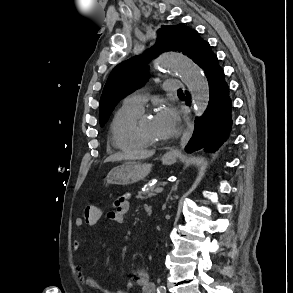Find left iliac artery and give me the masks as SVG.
I'll use <instances>...</instances> for the list:
<instances>
[{
    "mask_svg": "<svg viewBox=\"0 0 293 293\" xmlns=\"http://www.w3.org/2000/svg\"><path fill=\"white\" fill-rule=\"evenodd\" d=\"M157 293H166V288L165 286H159L157 288Z\"/></svg>",
    "mask_w": 293,
    "mask_h": 293,
    "instance_id": "left-iliac-artery-1",
    "label": "left iliac artery"
}]
</instances>
